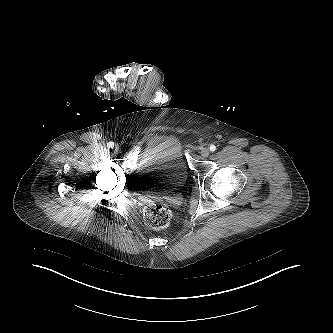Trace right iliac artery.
<instances>
[{
  "label": "right iliac artery",
  "instance_id": "1",
  "mask_svg": "<svg viewBox=\"0 0 333 333\" xmlns=\"http://www.w3.org/2000/svg\"><path fill=\"white\" fill-rule=\"evenodd\" d=\"M114 145H115L114 142H109V143H108V147H110V148H113Z\"/></svg>",
  "mask_w": 333,
  "mask_h": 333
}]
</instances>
